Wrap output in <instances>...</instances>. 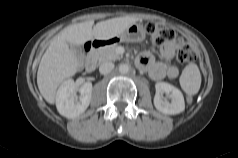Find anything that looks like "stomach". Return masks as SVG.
Returning <instances> with one entry per match:
<instances>
[{"instance_id":"obj_1","label":"stomach","mask_w":238,"mask_h":158,"mask_svg":"<svg viewBox=\"0 0 238 158\" xmlns=\"http://www.w3.org/2000/svg\"><path fill=\"white\" fill-rule=\"evenodd\" d=\"M146 31L141 24L134 23L117 36L108 39L111 43L141 42L145 39Z\"/></svg>"}]
</instances>
